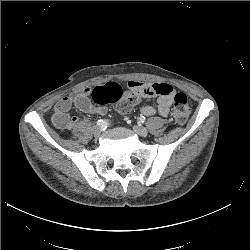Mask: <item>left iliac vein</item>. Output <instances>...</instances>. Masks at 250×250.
I'll use <instances>...</instances> for the list:
<instances>
[{
	"instance_id": "obj_1",
	"label": "left iliac vein",
	"mask_w": 250,
	"mask_h": 250,
	"mask_svg": "<svg viewBox=\"0 0 250 250\" xmlns=\"http://www.w3.org/2000/svg\"><path fill=\"white\" fill-rule=\"evenodd\" d=\"M133 130L139 136L145 137V136L148 135V130L146 128H144V127L135 125V126H133Z\"/></svg>"
}]
</instances>
